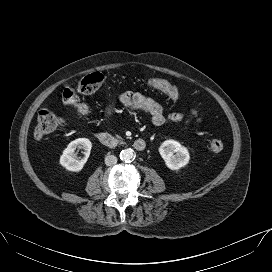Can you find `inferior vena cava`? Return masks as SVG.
Here are the masks:
<instances>
[{
	"mask_svg": "<svg viewBox=\"0 0 272 272\" xmlns=\"http://www.w3.org/2000/svg\"><path fill=\"white\" fill-rule=\"evenodd\" d=\"M117 163V158L114 155H108L105 157V164L107 166H113Z\"/></svg>",
	"mask_w": 272,
	"mask_h": 272,
	"instance_id": "602c4592",
	"label": "inferior vena cava"
}]
</instances>
